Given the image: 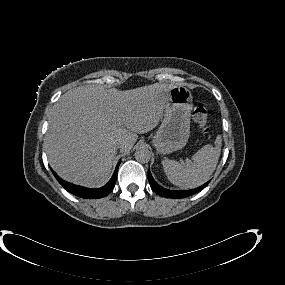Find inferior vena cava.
<instances>
[{
	"label": "inferior vena cava",
	"mask_w": 285,
	"mask_h": 285,
	"mask_svg": "<svg viewBox=\"0 0 285 285\" xmlns=\"http://www.w3.org/2000/svg\"><path fill=\"white\" fill-rule=\"evenodd\" d=\"M122 146H123V143H122V142L116 143V148H121Z\"/></svg>",
	"instance_id": "1"
}]
</instances>
